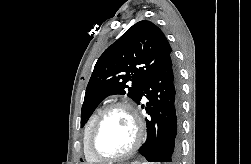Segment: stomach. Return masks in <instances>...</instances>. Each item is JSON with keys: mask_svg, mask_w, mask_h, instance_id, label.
<instances>
[{"mask_svg": "<svg viewBox=\"0 0 251 164\" xmlns=\"http://www.w3.org/2000/svg\"><path fill=\"white\" fill-rule=\"evenodd\" d=\"M130 164H143V163H139V162H133V163H130Z\"/></svg>", "mask_w": 251, "mask_h": 164, "instance_id": "stomach-1", "label": "stomach"}]
</instances>
